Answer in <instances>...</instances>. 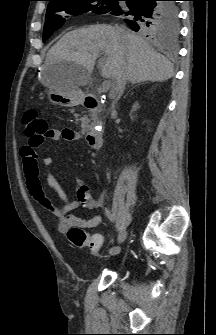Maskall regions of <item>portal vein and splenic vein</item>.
<instances>
[{
	"instance_id": "obj_1",
	"label": "portal vein and splenic vein",
	"mask_w": 216,
	"mask_h": 335,
	"mask_svg": "<svg viewBox=\"0 0 216 335\" xmlns=\"http://www.w3.org/2000/svg\"><path fill=\"white\" fill-rule=\"evenodd\" d=\"M110 86H111V81L110 80H105L102 84V89L101 91L104 93V92H107L109 89H110Z\"/></svg>"
}]
</instances>
